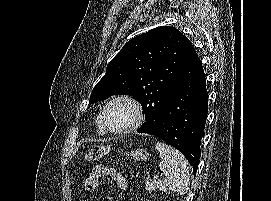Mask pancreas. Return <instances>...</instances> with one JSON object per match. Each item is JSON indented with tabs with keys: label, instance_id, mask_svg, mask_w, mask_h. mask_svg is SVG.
<instances>
[{
	"label": "pancreas",
	"instance_id": "1",
	"mask_svg": "<svg viewBox=\"0 0 271 201\" xmlns=\"http://www.w3.org/2000/svg\"><path fill=\"white\" fill-rule=\"evenodd\" d=\"M155 188H157L159 191L166 190V187L160 181H150V182H147L145 190L147 192H152V191H154Z\"/></svg>",
	"mask_w": 271,
	"mask_h": 201
}]
</instances>
